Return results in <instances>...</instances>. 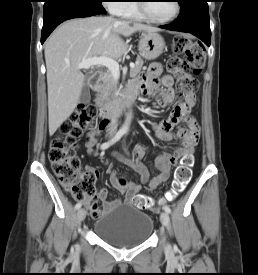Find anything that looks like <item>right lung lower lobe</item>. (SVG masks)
Returning a JSON list of instances; mask_svg holds the SVG:
<instances>
[{
    "label": "right lung lower lobe",
    "mask_w": 258,
    "mask_h": 275,
    "mask_svg": "<svg viewBox=\"0 0 258 275\" xmlns=\"http://www.w3.org/2000/svg\"><path fill=\"white\" fill-rule=\"evenodd\" d=\"M106 13L101 3L92 0H47L44 4L41 43L63 21Z\"/></svg>",
    "instance_id": "right-lung-lower-lobe-1"
}]
</instances>
